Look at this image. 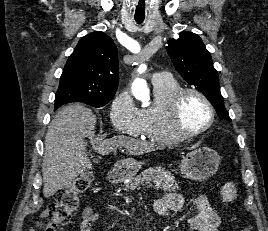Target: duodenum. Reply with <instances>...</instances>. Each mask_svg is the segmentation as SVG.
<instances>
[{
  "label": "duodenum",
  "instance_id": "1",
  "mask_svg": "<svg viewBox=\"0 0 268 231\" xmlns=\"http://www.w3.org/2000/svg\"><path fill=\"white\" fill-rule=\"evenodd\" d=\"M119 179H120V174H119V171L117 169H113L107 175L108 183H115V182L119 181Z\"/></svg>",
  "mask_w": 268,
  "mask_h": 231
}]
</instances>
